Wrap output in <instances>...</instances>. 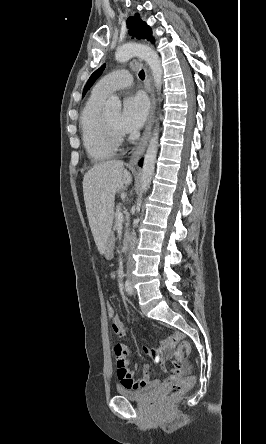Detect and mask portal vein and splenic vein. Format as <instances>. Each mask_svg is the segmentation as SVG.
I'll list each match as a JSON object with an SVG mask.
<instances>
[{
  "mask_svg": "<svg viewBox=\"0 0 266 444\" xmlns=\"http://www.w3.org/2000/svg\"><path fill=\"white\" fill-rule=\"evenodd\" d=\"M117 218H118V220H122L123 219V213L121 211L118 212Z\"/></svg>",
  "mask_w": 266,
  "mask_h": 444,
  "instance_id": "1",
  "label": "portal vein and splenic vein"
}]
</instances>
